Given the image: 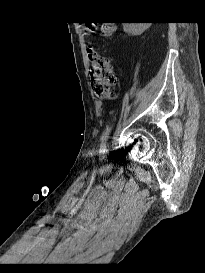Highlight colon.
Here are the masks:
<instances>
[{
    "label": "colon",
    "instance_id": "colon-1",
    "mask_svg": "<svg viewBox=\"0 0 205 273\" xmlns=\"http://www.w3.org/2000/svg\"><path fill=\"white\" fill-rule=\"evenodd\" d=\"M114 26L113 21H104L100 24V30L104 35H110ZM95 29L91 25L86 26L89 32H94ZM88 58L91 63V89L94 96L101 99H112L114 97L112 88L116 85L117 80L112 72L109 58L94 47L89 48Z\"/></svg>",
    "mask_w": 205,
    "mask_h": 273
}]
</instances>
